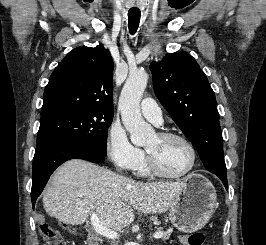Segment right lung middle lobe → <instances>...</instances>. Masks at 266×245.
I'll list each match as a JSON object with an SVG mask.
<instances>
[{
  "mask_svg": "<svg viewBox=\"0 0 266 245\" xmlns=\"http://www.w3.org/2000/svg\"><path fill=\"white\" fill-rule=\"evenodd\" d=\"M114 112L87 107L59 112L40 120L36 148L70 141L106 156L107 133Z\"/></svg>",
  "mask_w": 266,
  "mask_h": 245,
  "instance_id": "obj_1",
  "label": "right lung middle lobe"
}]
</instances>
